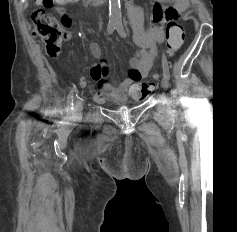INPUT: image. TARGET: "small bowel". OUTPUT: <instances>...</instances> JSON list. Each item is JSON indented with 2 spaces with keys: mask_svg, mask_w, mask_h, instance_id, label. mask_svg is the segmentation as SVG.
I'll list each match as a JSON object with an SVG mask.
<instances>
[{
  "mask_svg": "<svg viewBox=\"0 0 237 232\" xmlns=\"http://www.w3.org/2000/svg\"><path fill=\"white\" fill-rule=\"evenodd\" d=\"M79 1L66 0L64 4ZM188 4L189 0H153L151 26L148 30L144 28L140 11L130 8L129 16L139 50L129 60L128 76L121 82L111 84L107 81L108 63L105 60L91 68V77L96 83V88L91 92L96 102H122L128 98L140 101L147 96L150 88L142 82V79L148 75L158 56V45L165 40L164 26L176 21L186 10ZM58 12L64 14L65 10L60 7ZM90 50L94 57L101 56V48L98 43H91ZM84 84L82 80L81 85Z\"/></svg>",
  "mask_w": 237,
  "mask_h": 232,
  "instance_id": "1",
  "label": "small bowel"
}]
</instances>
